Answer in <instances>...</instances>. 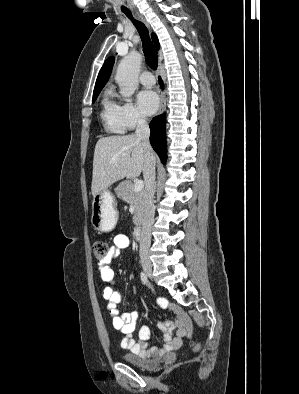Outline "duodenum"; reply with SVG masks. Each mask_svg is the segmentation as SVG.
<instances>
[{
  "mask_svg": "<svg viewBox=\"0 0 299 394\" xmlns=\"http://www.w3.org/2000/svg\"><path fill=\"white\" fill-rule=\"evenodd\" d=\"M141 232H142V227H141V225L136 226V227H135V230H134V238H135V239H140V237H141Z\"/></svg>",
  "mask_w": 299,
  "mask_h": 394,
  "instance_id": "obj_1",
  "label": "duodenum"
}]
</instances>
